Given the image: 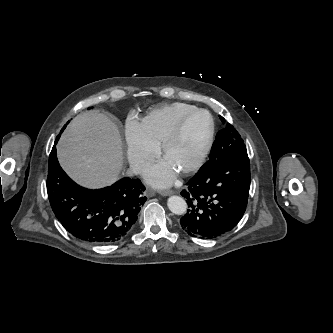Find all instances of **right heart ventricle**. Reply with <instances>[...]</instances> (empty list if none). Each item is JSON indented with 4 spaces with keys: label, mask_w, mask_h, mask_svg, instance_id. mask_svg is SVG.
Wrapping results in <instances>:
<instances>
[{
    "label": "right heart ventricle",
    "mask_w": 333,
    "mask_h": 333,
    "mask_svg": "<svg viewBox=\"0 0 333 333\" xmlns=\"http://www.w3.org/2000/svg\"><path fill=\"white\" fill-rule=\"evenodd\" d=\"M195 108L184 102H174L154 108L143 117L141 122L143 129L150 141L159 147L180 117Z\"/></svg>",
    "instance_id": "obj_1"
}]
</instances>
